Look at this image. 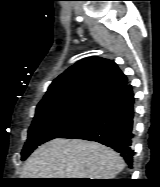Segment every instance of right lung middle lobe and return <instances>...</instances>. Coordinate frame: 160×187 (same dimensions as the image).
I'll use <instances>...</instances> for the list:
<instances>
[{
  "instance_id": "dd1d6c3e",
  "label": "right lung middle lobe",
  "mask_w": 160,
  "mask_h": 187,
  "mask_svg": "<svg viewBox=\"0 0 160 187\" xmlns=\"http://www.w3.org/2000/svg\"><path fill=\"white\" fill-rule=\"evenodd\" d=\"M93 101H72L57 106L36 109L28 139L22 150L25 160L39 145L58 138L59 135L76 125L95 106Z\"/></svg>"
}]
</instances>
